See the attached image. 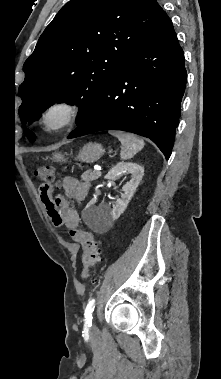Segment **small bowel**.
I'll use <instances>...</instances> for the list:
<instances>
[{
	"label": "small bowel",
	"instance_id": "c3829d8e",
	"mask_svg": "<svg viewBox=\"0 0 221 379\" xmlns=\"http://www.w3.org/2000/svg\"><path fill=\"white\" fill-rule=\"evenodd\" d=\"M65 197H60L57 190L41 192V199L53 224L57 227L66 226L68 229H76L80 224L77 210L71 205L69 199L81 202L89 191V184L81 182L77 178L67 176L62 181Z\"/></svg>",
	"mask_w": 221,
	"mask_h": 379
}]
</instances>
